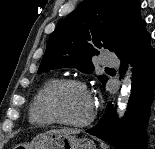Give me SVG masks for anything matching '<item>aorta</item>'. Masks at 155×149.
Here are the masks:
<instances>
[{
	"instance_id": "1",
	"label": "aorta",
	"mask_w": 155,
	"mask_h": 149,
	"mask_svg": "<svg viewBox=\"0 0 155 149\" xmlns=\"http://www.w3.org/2000/svg\"><path fill=\"white\" fill-rule=\"evenodd\" d=\"M132 67L128 66L127 72L123 78V86L121 89V93L118 96L117 100V115L118 118L121 119L127 110V105L129 101V90L132 82Z\"/></svg>"
}]
</instances>
